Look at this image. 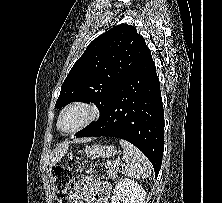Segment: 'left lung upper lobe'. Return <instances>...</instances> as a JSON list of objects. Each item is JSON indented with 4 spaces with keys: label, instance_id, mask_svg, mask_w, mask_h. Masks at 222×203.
I'll return each mask as SVG.
<instances>
[{
    "label": "left lung upper lobe",
    "instance_id": "1",
    "mask_svg": "<svg viewBox=\"0 0 222 203\" xmlns=\"http://www.w3.org/2000/svg\"><path fill=\"white\" fill-rule=\"evenodd\" d=\"M147 50L144 38L131 25L120 24L98 36L67 75L55 108L85 101L94 103L101 113Z\"/></svg>",
    "mask_w": 222,
    "mask_h": 203
}]
</instances>
